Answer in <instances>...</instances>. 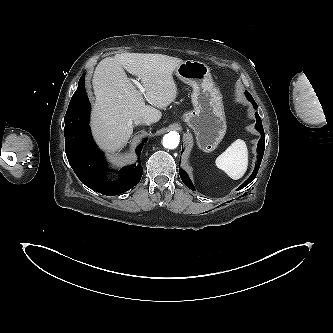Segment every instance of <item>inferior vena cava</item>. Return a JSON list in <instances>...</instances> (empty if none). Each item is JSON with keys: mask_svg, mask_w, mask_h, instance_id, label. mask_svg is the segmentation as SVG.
<instances>
[{"mask_svg": "<svg viewBox=\"0 0 333 333\" xmlns=\"http://www.w3.org/2000/svg\"><path fill=\"white\" fill-rule=\"evenodd\" d=\"M134 123L137 125H141V124L149 125V124H151V121L146 117H139V118L135 119Z\"/></svg>", "mask_w": 333, "mask_h": 333, "instance_id": "inferior-vena-cava-1", "label": "inferior vena cava"}]
</instances>
